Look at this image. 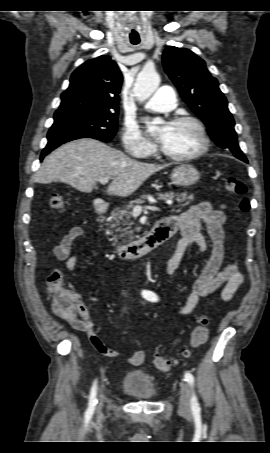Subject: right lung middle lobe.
<instances>
[{
	"instance_id": "obj_1",
	"label": "right lung middle lobe",
	"mask_w": 270,
	"mask_h": 453,
	"mask_svg": "<svg viewBox=\"0 0 270 453\" xmlns=\"http://www.w3.org/2000/svg\"><path fill=\"white\" fill-rule=\"evenodd\" d=\"M118 112L87 111L55 117L47 139L71 141L90 137L104 142L116 134Z\"/></svg>"
}]
</instances>
